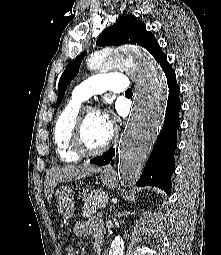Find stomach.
I'll return each instance as SVG.
<instances>
[{"label":"stomach","mask_w":221,"mask_h":255,"mask_svg":"<svg viewBox=\"0 0 221 255\" xmlns=\"http://www.w3.org/2000/svg\"><path fill=\"white\" fill-rule=\"evenodd\" d=\"M101 181L104 186L110 189L118 185L117 177L114 174L103 173L101 175ZM55 196L57 200V212L64 222H66L73 217L75 211L72 190L68 186H61L56 190Z\"/></svg>","instance_id":"stomach-1"}]
</instances>
